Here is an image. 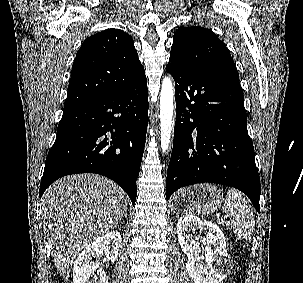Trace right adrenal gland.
Masks as SVG:
<instances>
[{"instance_id": "1", "label": "right adrenal gland", "mask_w": 303, "mask_h": 283, "mask_svg": "<svg viewBox=\"0 0 303 283\" xmlns=\"http://www.w3.org/2000/svg\"><path fill=\"white\" fill-rule=\"evenodd\" d=\"M122 217H124V218L127 219V209L124 210V212H123L121 218H122ZM121 218H120V219H121Z\"/></svg>"}]
</instances>
